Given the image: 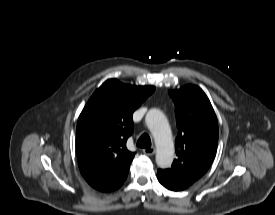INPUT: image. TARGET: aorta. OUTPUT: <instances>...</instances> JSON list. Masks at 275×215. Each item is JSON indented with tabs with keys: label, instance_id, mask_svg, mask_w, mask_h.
<instances>
[{
	"label": "aorta",
	"instance_id": "aorta-1",
	"mask_svg": "<svg viewBox=\"0 0 275 215\" xmlns=\"http://www.w3.org/2000/svg\"><path fill=\"white\" fill-rule=\"evenodd\" d=\"M145 122L156 144V163L160 168H169L174 158V143L166 116L159 109H150Z\"/></svg>",
	"mask_w": 275,
	"mask_h": 215
}]
</instances>
